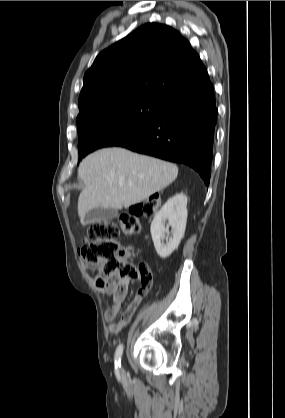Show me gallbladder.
Returning a JSON list of instances; mask_svg holds the SVG:
<instances>
[{
  "label": "gallbladder",
  "mask_w": 285,
  "mask_h": 418,
  "mask_svg": "<svg viewBox=\"0 0 285 418\" xmlns=\"http://www.w3.org/2000/svg\"><path fill=\"white\" fill-rule=\"evenodd\" d=\"M118 215V211L112 208H94L89 210L81 219L83 225H88L97 221H111Z\"/></svg>",
  "instance_id": "bac80fb5"
}]
</instances>
